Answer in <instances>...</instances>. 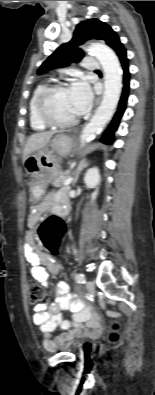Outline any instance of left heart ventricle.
<instances>
[{
  "label": "left heart ventricle",
  "instance_id": "1",
  "mask_svg": "<svg viewBox=\"0 0 155 395\" xmlns=\"http://www.w3.org/2000/svg\"><path fill=\"white\" fill-rule=\"evenodd\" d=\"M48 110L52 117L60 121H70L77 117L71 97L70 89L53 94L48 103Z\"/></svg>",
  "mask_w": 155,
  "mask_h": 395
}]
</instances>
